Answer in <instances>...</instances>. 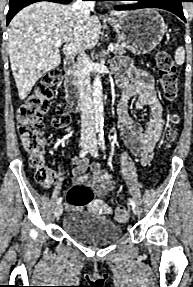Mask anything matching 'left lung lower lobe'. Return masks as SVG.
Here are the masks:
<instances>
[{"instance_id": "obj_1", "label": "left lung lower lobe", "mask_w": 193, "mask_h": 287, "mask_svg": "<svg viewBox=\"0 0 193 287\" xmlns=\"http://www.w3.org/2000/svg\"><path fill=\"white\" fill-rule=\"evenodd\" d=\"M135 1H138V3L126 7H115V10L160 8L170 11L179 16L183 21H186L181 4L182 2H186V0H135Z\"/></svg>"}]
</instances>
